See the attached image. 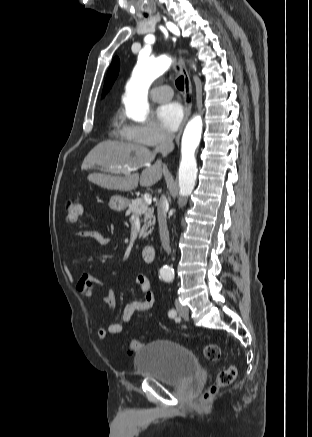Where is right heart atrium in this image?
<instances>
[{
	"mask_svg": "<svg viewBox=\"0 0 312 437\" xmlns=\"http://www.w3.org/2000/svg\"><path fill=\"white\" fill-rule=\"evenodd\" d=\"M120 138L144 146H157L170 140L167 134L158 124L151 120L142 123H126L120 131Z\"/></svg>",
	"mask_w": 312,
	"mask_h": 437,
	"instance_id": "d8ad5b80",
	"label": "right heart atrium"
}]
</instances>
